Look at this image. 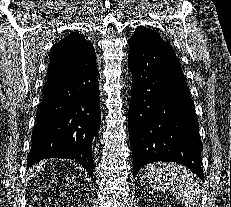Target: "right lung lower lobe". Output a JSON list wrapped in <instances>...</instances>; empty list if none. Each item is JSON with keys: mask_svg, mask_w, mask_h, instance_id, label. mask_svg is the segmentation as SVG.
<instances>
[{"mask_svg": "<svg viewBox=\"0 0 231 207\" xmlns=\"http://www.w3.org/2000/svg\"><path fill=\"white\" fill-rule=\"evenodd\" d=\"M96 55L78 68H48L43 100L38 106L37 123L27 167L45 158L75 159L93 176V139L100 122Z\"/></svg>", "mask_w": 231, "mask_h": 207, "instance_id": "1", "label": "right lung lower lobe"}]
</instances>
